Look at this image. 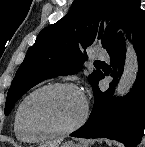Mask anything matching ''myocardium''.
<instances>
[{
	"instance_id": "myocardium-1",
	"label": "myocardium",
	"mask_w": 145,
	"mask_h": 147,
	"mask_svg": "<svg viewBox=\"0 0 145 147\" xmlns=\"http://www.w3.org/2000/svg\"><path fill=\"white\" fill-rule=\"evenodd\" d=\"M56 89H70L77 92L81 96L83 101V112L80 118L73 125L64 129H53L45 125L32 123L28 119L26 114V108L30 100L41 93L56 90ZM88 114H89V105H88L87 99L85 98L82 91L76 85L72 83H67V82L51 83V84L44 85L40 88H37L36 90L32 91L23 99L19 108V121L22 127L24 128V130L29 133L39 134L43 137H60V136L69 135L72 132L79 129L86 122L88 118Z\"/></svg>"
}]
</instances>
